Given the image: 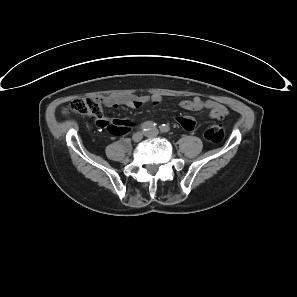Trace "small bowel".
<instances>
[{"instance_id": "1", "label": "small bowel", "mask_w": 297, "mask_h": 297, "mask_svg": "<svg viewBox=\"0 0 297 297\" xmlns=\"http://www.w3.org/2000/svg\"><path fill=\"white\" fill-rule=\"evenodd\" d=\"M162 97L158 95L154 96H130V97H105L104 103L107 107L117 108L119 106H127L129 108H141L146 103L151 102L154 105L160 104ZM180 106L189 111H198L201 109H208L209 117L211 119L222 120L228 115V109L215 101L203 100L195 97L191 100H183L180 102ZM181 127L186 130H192L195 126V121L192 117L184 116L177 119ZM132 124V121L127 119H113L107 118L96 119L94 126L100 130H110L113 133L121 134L125 133L127 128Z\"/></svg>"}]
</instances>
